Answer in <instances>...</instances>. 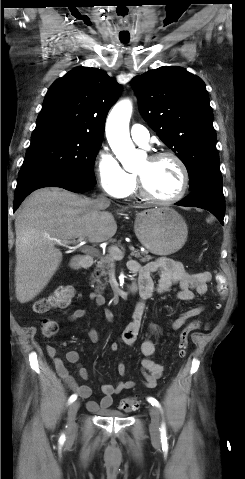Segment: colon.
Here are the masks:
<instances>
[{"mask_svg": "<svg viewBox=\"0 0 245 479\" xmlns=\"http://www.w3.org/2000/svg\"><path fill=\"white\" fill-rule=\"evenodd\" d=\"M217 293L221 297L227 295V288L221 277L217 280L216 286ZM75 292L72 286L70 285H61L57 287L53 293L48 296L37 300L33 306L34 312L38 314L45 313L51 309H62L68 307L73 301ZM201 326V321L195 320L188 323L179 335V356L184 357L186 350L189 344V337L192 332L199 329ZM59 329L58 323L56 320L51 318H44L41 321V330L45 336H53L57 334ZM139 402L133 398H124L120 401L119 407L124 412H131L137 409Z\"/></svg>", "mask_w": 245, "mask_h": 479, "instance_id": "5ec220e1", "label": "colon"}]
</instances>
